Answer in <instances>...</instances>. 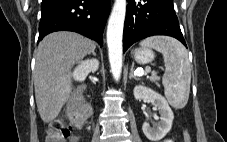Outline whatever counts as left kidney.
I'll use <instances>...</instances> for the list:
<instances>
[{
    "label": "left kidney",
    "instance_id": "5707ae66",
    "mask_svg": "<svg viewBox=\"0 0 227 142\" xmlns=\"http://www.w3.org/2000/svg\"><path fill=\"white\" fill-rule=\"evenodd\" d=\"M133 94L136 100H148L158 110L160 121L151 127L149 123L144 122L142 126L143 133L152 142H158L171 130L174 114L167 100L154 90L142 85L135 86Z\"/></svg>",
    "mask_w": 227,
    "mask_h": 142
}]
</instances>
